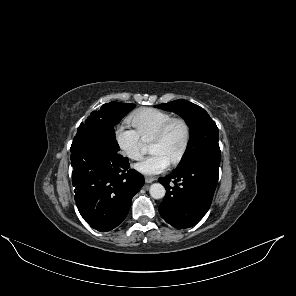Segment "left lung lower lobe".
Masks as SVG:
<instances>
[{
  "mask_svg": "<svg viewBox=\"0 0 296 296\" xmlns=\"http://www.w3.org/2000/svg\"><path fill=\"white\" fill-rule=\"evenodd\" d=\"M219 165L220 154L207 155L160 177L158 181L166 189V195L159 206L161 217L179 229L197 224L211 205ZM171 181L174 186L169 184Z\"/></svg>",
  "mask_w": 296,
  "mask_h": 296,
  "instance_id": "1",
  "label": "left lung lower lobe"
}]
</instances>
